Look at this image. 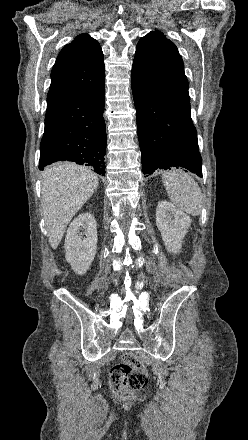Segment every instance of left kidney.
Wrapping results in <instances>:
<instances>
[{
    "label": "left kidney",
    "mask_w": 248,
    "mask_h": 440,
    "mask_svg": "<svg viewBox=\"0 0 248 440\" xmlns=\"http://www.w3.org/2000/svg\"><path fill=\"white\" fill-rule=\"evenodd\" d=\"M156 225L167 251L179 253L191 225L190 217L172 203L160 201L156 209Z\"/></svg>",
    "instance_id": "obj_1"
}]
</instances>
